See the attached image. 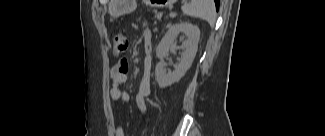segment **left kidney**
<instances>
[{
  "label": "left kidney",
  "instance_id": "obj_1",
  "mask_svg": "<svg viewBox=\"0 0 325 136\" xmlns=\"http://www.w3.org/2000/svg\"><path fill=\"white\" fill-rule=\"evenodd\" d=\"M186 35L187 39L183 43L184 52L174 71L165 69L164 58L168 53L170 46L174 43L176 37L180 34ZM200 39V30L196 25L188 22L171 25L156 48V56L160 62L155 67L156 81L160 88L171 86L178 82L191 67L192 62L198 50Z\"/></svg>",
  "mask_w": 325,
  "mask_h": 136
}]
</instances>
